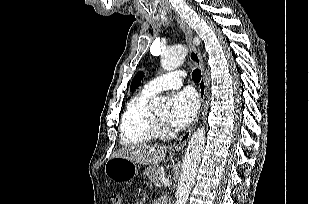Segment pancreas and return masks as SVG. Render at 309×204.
<instances>
[{
  "mask_svg": "<svg viewBox=\"0 0 309 204\" xmlns=\"http://www.w3.org/2000/svg\"><path fill=\"white\" fill-rule=\"evenodd\" d=\"M159 173H160V168L158 166H149L144 171V174L154 184H157L159 181Z\"/></svg>",
  "mask_w": 309,
  "mask_h": 204,
  "instance_id": "1",
  "label": "pancreas"
}]
</instances>
